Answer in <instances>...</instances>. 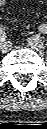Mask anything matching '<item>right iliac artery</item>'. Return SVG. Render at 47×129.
<instances>
[{"label":"right iliac artery","mask_w":47,"mask_h":129,"mask_svg":"<svg viewBox=\"0 0 47 129\" xmlns=\"http://www.w3.org/2000/svg\"><path fill=\"white\" fill-rule=\"evenodd\" d=\"M6 39V33H5V30L4 29H1L0 30V40L1 42L5 41Z\"/></svg>","instance_id":"1"}]
</instances>
